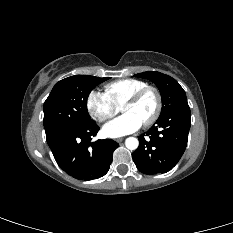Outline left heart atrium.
Returning <instances> with one entry per match:
<instances>
[{"label": "left heart atrium", "mask_w": 233, "mask_h": 233, "mask_svg": "<svg viewBox=\"0 0 233 233\" xmlns=\"http://www.w3.org/2000/svg\"><path fill=\"white\" fill-rule=\"evenodd\" d=\"M142 123L132 114H123L103 126V133L110 138H118L134 133Z\"/></svg>", "instance_id": "39dd6f15"}]
</instances>
